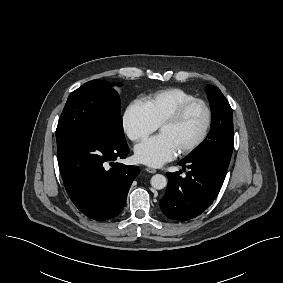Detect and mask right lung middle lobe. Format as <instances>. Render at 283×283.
I'll list each match as a JSON object with an SVG mask.
<instances>
[{
    "label": "right lung middle lobe",
    "mask_w": 283,
    "mask_h": 283,
    "mask_svg": "<svg viewBox=\"0 0 283 283\" xmlns=\"http://www.w3.org/2000/svg\"><path fill=\"white\" fill-rule=\"evenodd\" d=\"M87 129L101 131L120 141L126 140L118 93L106 81H89L70 94L58 121L57 145Z\"/></svg>",
    "instance_id": "right-lung-middle-lobe-1"
}]
</instances>
